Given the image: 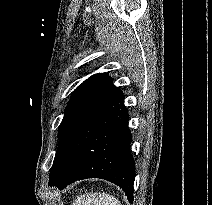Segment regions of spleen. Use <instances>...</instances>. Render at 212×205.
<instances>
[{
	"label": "spleen",
	"mask_w": 212,
	"mask_h": 205,
	"mask_svg": "<svg viewBox=\"0 0 212 205\" xmlns=\"http://www.w3.org/2000/svg\"><path fill=\"white\" fill-rule=\"evenodd\" d=\"M72 205H121L115 196L107 193H90L77 197Z\"/></svg>",
	"instance_id": "spleen-1"
}]
</instances>
